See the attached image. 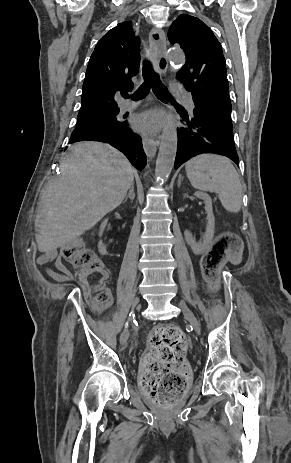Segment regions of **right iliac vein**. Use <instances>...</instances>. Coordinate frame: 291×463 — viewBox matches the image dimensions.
Instances as JSON below:
<instances>
[{"instance_id": "obj_1", "label": "right iliac vein", "mask_w": 291, "mask_h": 463, "mask_svg": "<svg viewBox=\"0 0 291 463\" xmlns=\"http://www.w3.org/2000/svg\"><path fill=\"white\" fill-rule=\"evenodd\" d=\"M139 301H140L139 297H135V299L132 302V310L138 305ZM129 334H130V332H129L128 328H126L122 332V334L120 336V343H121L122 346H125L127 344Z\"/></svg>"}]
</instances>
